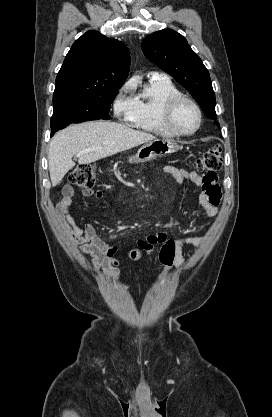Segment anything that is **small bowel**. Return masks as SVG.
<instances>
[{"instance_id": "obj_1", "label": "small bowel", "mask_w": 272, "mask_h": 417, "mask_svg": "<svg viewBox=\"0 0 272 417\" xmlns=\"http://www.w3.org/2000/svg\"><path fill=\"white\" fill-rule=\"evenodd\" d=\"M163 172L172 176L177 183L181 184L184 181H191L196 186L200 187L199 202L203 208L204 214L208 217H214L217 214V208L221 201V190L218 185V177L214 174H205L203 176L198 173L188 170L179 169L171 164L163 167ZM76 190L73 185L66 184L62 189V198L57 204V212L61 222L66 226L68 233L72 240L78 244L80 252L92 256V266L98 271L103 268L105 272L118 279L120 271L116 268L119 264L117 254L119 247L110 246L100 239L96 234L95 228L91 224H85L82 227L78 226L70 214V207L73 202ZM86 197H95L101 199L103 193L100 190L94 191L91 187L84 188L82 191ZM169 238L166 232H155L141 238L137 244L147 242H163ZM176 256L174 266L178 269L185 267L184 249L186 246H198L203 243V238L187 235L176 239Z\"/></svg>"}]
</instances>
